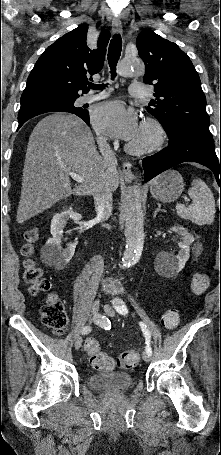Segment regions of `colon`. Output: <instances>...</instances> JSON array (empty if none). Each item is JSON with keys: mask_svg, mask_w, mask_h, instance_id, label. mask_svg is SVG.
I'll use <instances>...</instances> for the list:
<instances>
[{"mask_svg": "<svg viewBox=\"0 0 221 455\" xmlns=\"http://www.w3.org/2000/svg\"><path fill=\"white\" fill-rule=\"evenodd\" d=\"M39 240L37 229H29L24 232V243L21 247L23 257V279L30 287L32 294L46 292L50 288L48 279L43 275L42 269L38 266L35 254L36 243ZM210 283L209 275L205 272L197 273L190 283V292L193 295H201L208 288ZM42 323L51 329L55 334L64 333L68 318L65 308L56 295L50 294L40 308ZM180 322L179 310L176 307L168 309L162 315V324L167 329H175ZM85 352L89 356L93 368L102 371H111L118 366L122 369L136 367L140 361L137 351L122 352L116 359L104 353L99 342L95 338H87L84 345Z\"/></svg>", "mask_w": 221, "mask_h": 455, "instance_id": "colon-1", "label": "colon"}]
</instances>
